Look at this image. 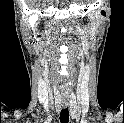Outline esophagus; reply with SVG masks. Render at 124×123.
I'll return each mask as SVG.
<instances>
[{
    "label": "esophagus",
    "instance_id": "obj_1",
    "mask_svg": "<svg viewBox=\"0 0 124 123\" xmlns=\"http://www.w3.org/2000/svg\"><path fill=\"white\" fill-rule=\"evenodd\" d=\"M62 106H63L64 108H67V107L69 106L68 101H64L63 104H62Z\"/></svg>",
    "mask_w": 124,
    "mask_h": 123
}]
</instances>
